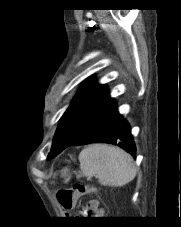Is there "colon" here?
Listing matches in <instances>:
<instances>
[{
  "label": "colon",
  "mask_w": 181,
  "mask_h": 227,
  "mask_svg": "<svg viewBox=\"0 0 181 227\" xmlns=\"http://www.w3.org/2000/svg\"><path fill=\"white\" fill-rule=\"evenodd\" d=\"M94 192V187L83 183H76L71 189L60 190L57 193V199L66 211H71L75 207L77 198Z\"/></svg>",
  "instance_id": "5ec220e1"
}]
</instances>
